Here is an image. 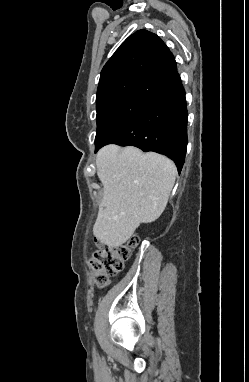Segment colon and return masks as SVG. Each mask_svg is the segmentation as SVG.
Segmentation results:
<instances>
[{"label": "colon", "instance_id": "5ec220e1", "mask_svg": "<svg viewBox=\"0 0 249 382\" xmlns=\"http://www.w3.org/2000/svg\"><path fill=\"white\" fill-rule=\"evenodd\" d=\"M137 244V237H131L125 244L114 248H105L97 243V250L89 258V265L95 272L94 283L98 288L105 287L111 276L122 271Z\"/></svg>", "mask_w": 249, "mask_h": 382}]
</instances>
